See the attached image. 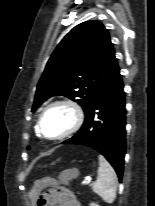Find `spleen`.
<instances>
[{
  "mask_svg": "<svg viewBox=\"0 0 155 206\" xmlns=\"http://www.w3.org/2000/svg\"><path fill=\"white\" fill-rule=\"evenodd\" d=\"M99 168L96 183L93 191L98 194L106 203H112L116 197L117 175L108 161L99 155Z\"/></svg>",
  "mask_w": 155,
  "mask_h": 206,
  "instance_id": "spleen-1",
  "label": "spleen"
}]
</instances>
